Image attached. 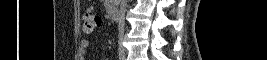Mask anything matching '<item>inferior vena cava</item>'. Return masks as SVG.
<instances>
[{
  "mask_svg": "<svg viewBox=\"0 0 267 60\" xmlns=\"http://www.w3.org/2000/svg\"><path fill=\"white\" fill-rule=\"evenodd\" d=\"M125 2L126 0H121L119 21H118V27L120 33L124 31V25H125Z\"/></svg>",
  "mask_w": 267,
  "mask_h": 60,
  "instance_id": "obj_1",
  "label": "inferior vena cava"
}]
</instances>
